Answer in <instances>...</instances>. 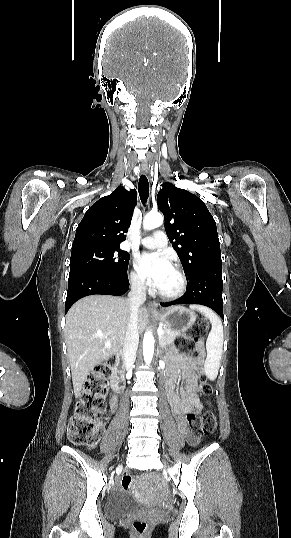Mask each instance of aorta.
<instances>
[{
  "label": "aorta",
  "mask_w": 291,
  "mask_h": 538,
  "mask_svg": "<svg viewBox=\"0 0 291 538\" xmlns=\"http://www.w3.org/2000/svg\"><path fill=\"white\" fill-rule=\"evenodd\" d=\"M163 223V216L158 212L148 213L143 222V226L146 230H151L161 226ZM154 336L150 330L146 331L143 338V357L146 364H150L154 354Z\"/></svg>",
  "instance_id": "762f6f07"
}]
</instances>
